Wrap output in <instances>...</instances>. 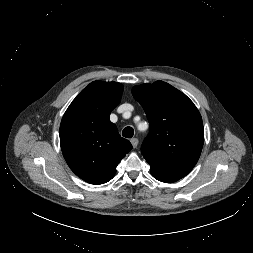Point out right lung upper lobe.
I'll list each match as a JSON object with an SVG mask.
<instances>
[{"mask_svg":"<svg viewBox=\"0 0 253 253\" xmlns=\"http://www.w3.org/2000/svg\"><path fill=\"white\" fill-rule=\"evenodd\" d=\"M123 85L94 81L72 101L60 124V144L70 169L82 180H111L121 159L132 149L109 119L120 103Z\"/></svg>","mask_w":253,"mask_h":253,"instance_id":"obj_1","label":"right lung upper lobe"}]
</instances>
